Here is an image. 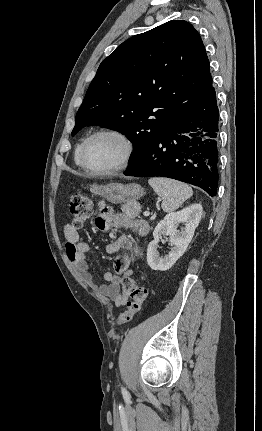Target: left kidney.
Returning a JSON list of instances; mask_svg holds the SVG:
<instances>
[{"instance_id":"left-kidney-1","label":"left kidney","mask_w":262,"mask_h":431,"mask_svg":"<svg viewBox=\"0 0 262 431\" xmlns=\"http://www.w3.org/2000/svg\"><path fill=\"white\" fill-rule=\"evenodd\" d=\"M202 214V206L193 204L181 211L167 214L158 223L153 232L154 240L149 243L147 249V263L151 269L166 271L175 264L191 242ZM181 223H185V226L179 232L177 228ZM162 235L169 236L172 246L169 254L164 257H161L157 251L158 242Z\"/></svg>"}]
</instances>
